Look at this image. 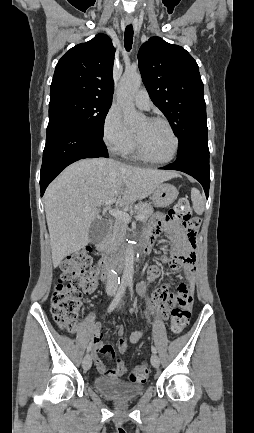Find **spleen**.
<instances>
[{"mask_svg": "<svg viewBox=\"0 0 254 433\" xmlns=\"http://www.w3.org/2000/svg\"><path fill=\"white\" fill-rule=\"evenodd\" d=\"M191 200L196 214L202 215L204 212V198L196 188H192L191 190Z\"/></svg>", "mask_w": 254, "mask_h": 433, "instance_id": "spleen-1", "label": "spleen"}]
</instances>
